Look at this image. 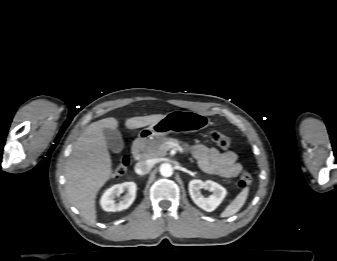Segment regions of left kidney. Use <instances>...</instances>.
I'll list each match as a JSON object with an SVG mask.
<instances>
[{
    "mask_svg": "<svg viewBox=\"0 0 337 261\" xmlns=\"http://www.w3.org/2000/svg\"><path fill=\"white\" fill-rule=\"evenodd\" d=\"M200 189L209 190L212 192V195L204 198L200 193ZM189 194L198 207L211 212L223 201L227 191L224 187L211 180L203 182L202 180L194 179L189 182Z\"/></svg>",
    "mask_w": 337,
    "mask_h": 261,
    "instance_id": "1",
    "label": "left kidney"
}]
</instances>
